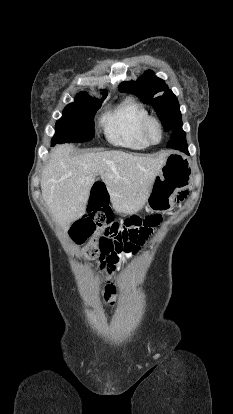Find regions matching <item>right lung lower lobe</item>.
Masks as SVG:
<instances>
[{
    "label": "right lung lower lobe",
    "mask_w": 233,
    "mask_h": 414,
    "mask_svg": "<svg viewBox=\"0 0 233 414\" xmlns=\"http://www.w3.org/2000/svg\"><path fill=\"white\" fill-rule=\"evenodd\" d=\"M55 143L52 141V145H54Z\"/></svg>",
    "instance_id": "98d812e1"
}]
</instances>
